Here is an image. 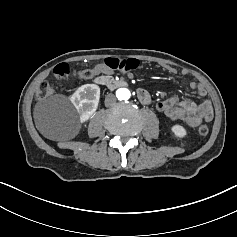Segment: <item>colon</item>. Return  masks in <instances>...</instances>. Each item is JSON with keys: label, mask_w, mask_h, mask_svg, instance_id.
Returning a JSON list of instances; mask_svg holds the SVG:
<instances>
[{"label": "colon", "mask_w": 237, "mask_h": 237, "mask_svg": "<svg viewBox=\"0 0 237 237\" xmlns=\"http://www.w3.org/2000/svg\"><path fill=\"white\" fill-rule=\"evenodd\" d=\"M103 63L110 69L117 70L123 73L134 71L138 69L140 66V62L134 58L129 59L107 58L104 60ZM54 72L56 78L60 80H66L79 75L78 71L72 69L66 64L59 65ZM52 93L53 90L50 84L47 82H43L40 84L36 96L39 100H42L49 97ZM198 132L200 135L205 136L208 134L209 128L206 125H200L198 128Z\"/></svg>", "instance_id": "5ec220e1"}]
</instances>
